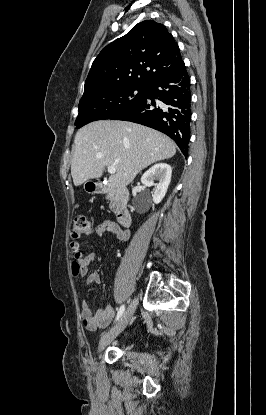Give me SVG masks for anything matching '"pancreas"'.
<instances>
[{
	"mask_svg": "<svg viewBox=\"0 0 266 415\" xmlns=\"http://www.w3.org/2000/svg\"><path fill=\"white\" fill-rule=\"evenodd\" d=\"M107 198L109 199V198H111V197H110V196H108ZM110 208H111V209H113V208H114V204H113V202H112V201H111V203H110Z\"/></svg>",
	"mask_w": 266,
	"mask_h": 415,
	"instance_id": "pancreas-1",
	"label": "pancreas"
}]
</instances>
